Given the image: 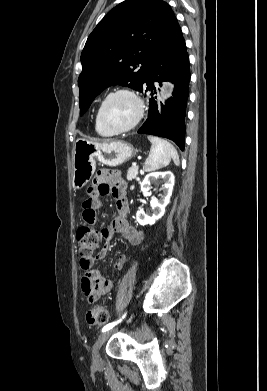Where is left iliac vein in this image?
Listing matches in <instances>:
<instances>
[{"instance_id":"left-iliac-vein-1","label":"left iliac vein","mask_w":267,"mask_h":391,"mask_svg":"<svg viewBox=\"0 0 267 391\" xmlns=\"http://www.w3.org/2000/svg\"><path fill=\"white\" fill-rule=\"evenodd\" d=\"M117 328H112L107 331H104L96 340L93 351H92V364L93 367L96 369H101L103 367V360L100 356V348L102 345L106 342V340L110 337V335L116 330Z\"/></svg>"}]
</instances>
